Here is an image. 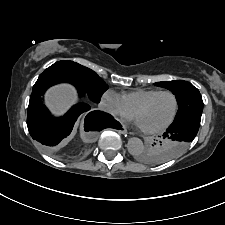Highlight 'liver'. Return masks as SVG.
<instances>
[{
    "label": "liver",
    "instance_id": "6515ba94",
    "mask_svg": "<svg viewBox=\"0 0 225 225\" xmlns=\"http://www.w3.org/2000/svg\"><path fill=\"white\" fill-rule=\"evenodd\" d=\"M76 99V90L69 84H58L51 87L46 95L47 106L55 114L64 113Z\"/></svg>",
    "mask_w": 225,
    "mask_h": 225
}]
</instances>
